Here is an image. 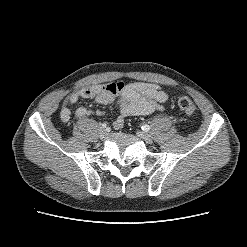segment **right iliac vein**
<instances>
[{"instance_id":"1","label":"right iliac vein","mask_w":247,"mask_h":247,"mask_svg":"<svg viewBox=\"0 0 247 247\" xmlns=\"http://www.w3.org/2000/svg\"><path fill=\"white\" fill-rule=\"evenodd\" d=\"M99 135H100L101 138H104L105 135H106V129L103 128V127H100V129H99Z\"/></svg>"}]
</instances>
